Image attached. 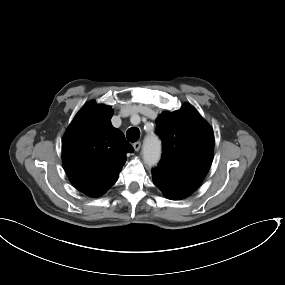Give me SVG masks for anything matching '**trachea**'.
I'll return each instance as SVG.
<instances>
[{
  "label": "trachea",
  "instance_id": "3493384b",
  "mask_svg": "<svg viewBox=\"0 0 285 285\" xmlns=\"http://www.w3.org/2000/svg\"><path fill=\"white\" fill-rule=\"evenodd\" d=\"M126 137L130 142H136L140 137V130L136 127H131L126 132Z\"/></svg>",
  "mask_w": 285,
  "mask_h": 285
}]
</instances>
